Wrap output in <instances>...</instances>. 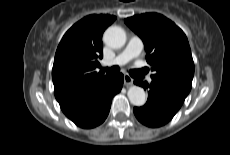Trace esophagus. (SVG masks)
I'll use <instances>...</instances> for the list:
<instances>
[{"mask_svg": "<svg viewBox=\"0 0 230 155\" xmlns=\"http://www.w3.org/2000/svg\"><path fill=\"white\" fill-rule=\"evenodd\" d=\"M133 82H134V80H133L132 77H130V76L127 75V74L124 75V85H125V86H130V85L133 84Z\"/></svg>", "mask_w": 230, "mask_h": 155, "instance_id": "34e87169", "label": "esophagus"}]
</instances>
